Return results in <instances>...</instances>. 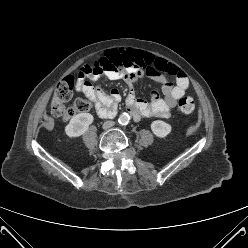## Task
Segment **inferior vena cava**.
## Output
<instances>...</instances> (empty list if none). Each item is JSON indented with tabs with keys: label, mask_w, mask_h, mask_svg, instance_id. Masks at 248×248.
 I'll return each mask as SVG.
<instances>
[{
	"label": "inferior vena cava",
	"mask_w": 248,
	"mask_h": 248,
	"mask_svg": "<svg viewBox=\"0 0 248 248\" xmlns=\"http://www.w3.org/2000/svg\"><path fill=\"white\" fill-rule=\"evenodd\" d=\"M114 124H115V122H113V121H106L103 124V129L107 130V129L111 128L112 126H114Z\"/></svg>",
	"instance_id": "inferior-vena-cava-1"
}]
</instances>
